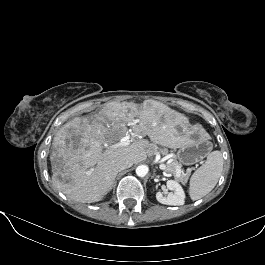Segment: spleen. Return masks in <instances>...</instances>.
Listing matches in <instances>:
<instances>
[{
	"instance_id": "1",
	"label": "spleen",
	"mask_w": 265,
	"mask_h": 265,
	"mask_svg": "<svg viewBox=\"0 0 265 265\" xmlns=\"http://www.w3.org/2000/svg\"><path fill=\"white\" fill-rule=\"evenodd\" d=\"M223 163L220 151L208 154L205 163L190 178L189 195L192 200H198L213 190L221 176Z\"/></svg>"
}]
</instances>
